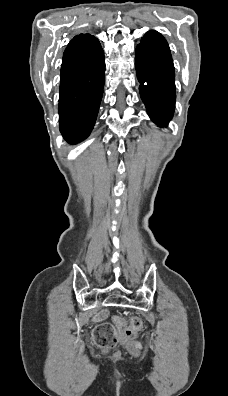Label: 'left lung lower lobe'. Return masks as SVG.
I'll use <instances>...</instances> for the list:
<instances>
[{
    "label": "left lung lower lobe",
    "mask_w": 228,
    "mask_h": 396,
    "mask_svg": "<svg viewBox=\"0 0 228 396\" xmlns=\"http://www.w3.org/2000/svg\"><path fill=\"white\" fill-rule=\"evenodd\" d=\"M135 66L140 95L150 118L160 127L172 119L175 109V72L170 49L157 31H149L136 48Z\"/></svg>",
    "instance_id": "1"
}]
</instances>
